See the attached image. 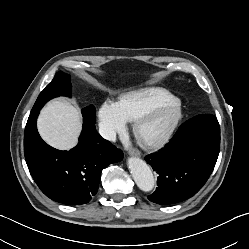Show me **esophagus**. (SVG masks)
<instances>
[{
    "mask_svg": "<svg viewBox=\"0 0 249 249\" xmlns=\"http://www.w3.org/2000/svg\"><path fill=\"white\" fill-rule=\"evenodd\" d=\"M128 154L130 156H136V157H140L141 156V152L138 149H136V148L130 149L129 152H128Z\"/></svg>",
    "mask_w": 249,
    "mask_h": 249,
    "instance_id": "1",
    "label": "esophagus"
}]
</instances>
